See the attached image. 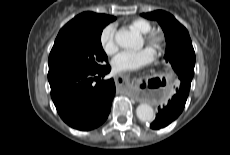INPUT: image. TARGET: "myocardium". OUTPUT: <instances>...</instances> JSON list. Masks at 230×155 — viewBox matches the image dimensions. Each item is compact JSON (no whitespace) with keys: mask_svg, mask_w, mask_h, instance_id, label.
Instances as JSON below:
<instances>
[{"mask_svg":"<svg viewBox=\"0 0 230 155\" xmlns=\"http://www.w3.org/2000/svg\"><path fill=\"white\" fill-rule=\"evenodd\" d=\"M142 37L145 43L150 46L156 54H160L166 45V36L160 30L151 29L142 34Z\"/></svg>","mask_w":230,"mask_h":155,"instance_id":"1","label":"myocardium"}]
</instances>
